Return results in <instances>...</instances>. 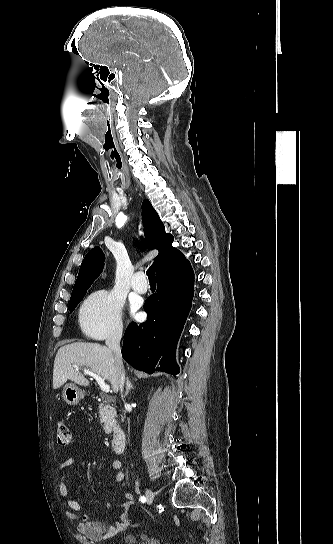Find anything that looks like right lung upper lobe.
I'll return each instance as SVG.
<instances>
[{
  "label": "right lung upper lobe",
  "mask_w": 333,
  "mask_h": 544,
  "mask_svg": "<svg viewBox=\"0 0 333 544\" xmlns=\"http://www.w3.org/2000/svg\"><path fill=\"white\" fill-rule=\"evenodd\" d=\"M142 222L146 241H143L144 244H140L141 247L159 251L155 258L156 276L187 262L182 254L172 246V235L165 233V227L148 199L142 203ZM103 262L104 254L99 247H94L87 253L81 264L72 295L87 291L101 273Z\"/></svg>",
  "instance_id": "obj_1"
}]
</instances>
